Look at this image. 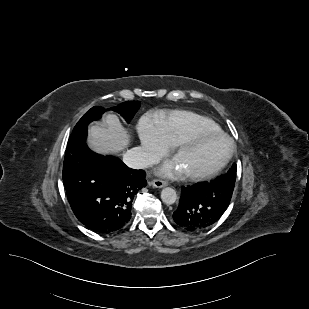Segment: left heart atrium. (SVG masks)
Returning <instances> with one entry per match:
<instances>
[{"label": "left heart atrium", "instance_id": "obj_1", "mask_svg": "<svg viewBox=\"0 0 309 309\" xmlns=\"http://www.w3.org/2000/svg\"><path fill=\"white\" fill-rule=\"evenodd\" d=\"M160 173L168 177H178L183 174V170L180 167L176 159L167 161L161 168Z\"/></svg>", "mask_w": 309, "mask_h": 309}]
</instances>
